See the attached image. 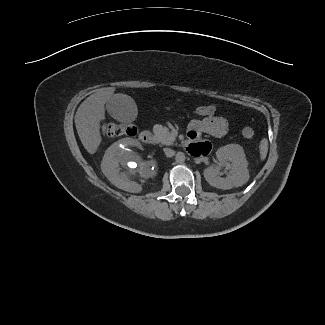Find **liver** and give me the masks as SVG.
Masks as SVG:
<instances>
[{"label": "liver", "mask_w": 325, "mask_h": 325, "mask_svg": "<svg viewBox=\"0 0 325 325\" xmlns=\"http://www.w3.org/2000/svg\"><path fill=\"white\" fill-rule=\"evenodd\" d=\"M115 88L105 87L87 97L78 107L75 114V126L84 148L94 154L102 141L100 124L105 120V104L114 97H128L125 94H114Z\"/></svg>", "instance_id": "liver-1"}]
</instances>
